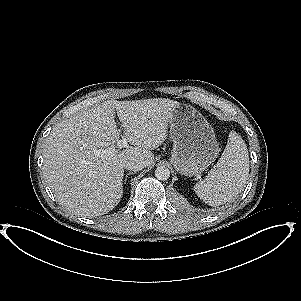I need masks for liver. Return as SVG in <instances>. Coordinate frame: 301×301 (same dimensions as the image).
<instances>
[{
	"label": "liver",
	"instance_id": "obj_1",
	"mask_svg": "<svg viewBox=\"0 0 301 301\" xmlns=\"http://www.w3.org/2000/svg\"><path fill=\"white\" fill-rule=\"evenodd\" d=\"M181 107L176 101H111L55 128L43 148V171L58 201L84 216L113 210L123 196L125 164H153L151 151L165 142ZM122 138L134 147L120 149Z\"/></svg>",
	"mask_w": 301,
	"mask_h": 301
}]
</instances>
